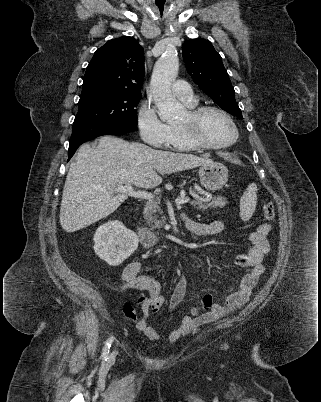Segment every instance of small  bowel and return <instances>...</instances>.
Instances as JSON below:
<instances>
[{"mask_svg":"<svg viewBox=\"0 0 321 402\" xmlns=\"http://www.w3.org/2000/svg\"><path fill=\"white\" fill-rule=\"evenodd\" d=\"M185 226L189 232L196 236L206 237L220 235L224 232V224L220 221L201 223L191 219L185 220ZM270 231L268 224L259 225L249 235L251 247L247 253L235 257V264L247 268L248 272L243 276L237 287L230 288L223 303H214L211 294H206L202 299L210 305L205 312L200 313L198 308L191 309V315L181 317L174 331L167 336L168 342H175L180 337L190 333L195 328L208 324L224 317L231 311L242 306L249 298L253 288L265 271L264 257L270 250L267 235ZM141 264L130 262L122 272V290H142L148 293V298L142 303V316L136 323V328L150 341H159L161 336L148 323L147 319L153 312H157L164 304V296L161 294L160 284L153 278L140 274ZM186 293V284L181 278L175 286L170 300L169 309L174 311L182 303Z\"/></svg>","mask_w":321,"mask_h":402,"instance_id":"small-bowel-1","label":"small bowel"}]
</instances>
